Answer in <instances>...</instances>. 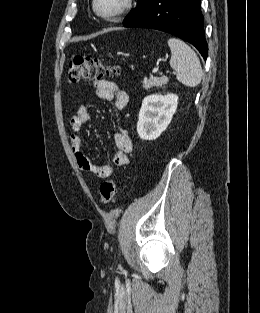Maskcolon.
Masks as SVG:
<instances>
[{
    "label": "colon",
    "instance_id": "colon-1",
    "mask_svg": "<svg viewBox=\"0 0 260 313\" xmlns=\"http://www.w3.org/2000/svg\"><path fill=\"white\" fill-rule=\"evenodd\" d=\"M118 71L115 66L105 67L97 58L73 56L69 62L67 82L76 84L83 80L101 79L104 76L117 74ZM116 183V179H111L101 184L99 198L103 204H109L114 199Z\"/></svg>",
    "mask_w": 260,
    "mask_h": 313
}]
</instances>
